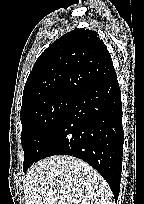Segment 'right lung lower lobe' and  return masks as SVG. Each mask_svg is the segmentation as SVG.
<instances>
[{
    "label": "right lung lower lobe",
    "instance_id": "obj_1",
    "mask_svg": "<svg viewBox=\"0 0 144 204\" xmlns=\"http://www.w3.org/2000/svg\"><path fill=\"white\" fill-rule=\"evenodd\" d=\"M123 142L121 92L113 72L76 94L42 146L37 161L61 154L86 161L107 181L116 201Z\"/></svg>",
    "mask_w": 144,
    "mask_h": 204
}]
</instances>
